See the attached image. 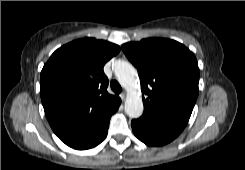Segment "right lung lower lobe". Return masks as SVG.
Instances as JSON below:
<instances>
[{"label":"right lung lower lobe","instance_id":"98d812e1","mask_svg":"<svg viewBox=\"0 0 245 170\" xmlns=\"http://www.w3.org/2000/svg\"><path fill=\"white\" fill-rule=\"evenodd\" d=\"M119 105L117 108H115V110L108 116V118L99 126V128L90 137H88L87 139H85L84 141L75 145L72 148L77 149V150H86V149L95 147L99 143H101L107 136L110 118L112 114L117 111V109L119 108Z\"/></svg>","mask_w":245,"mask_h":170}]
</instances>
